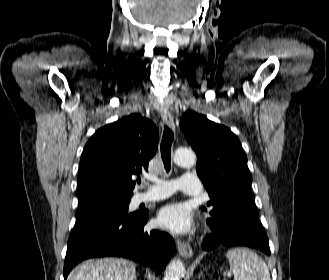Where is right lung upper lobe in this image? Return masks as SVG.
Segmentation results:
<instances>
[{"mask_svg":"<svg viewBox=\"0 0 329 280\" xmlns=\"http://www.w3.org/2000/svg\"><path fill=\"white\" fill-rule=\"evenodd\" d=\"M158 131L139 114L125 116L97 130L86 143L79 164L78 198L130 197L136 173L148 170Z\"/></svg>","mask_w":329,"mask_h":280,"instance_id":"cb5924a9","label":"right lung upper lobe"}]
</instances>
